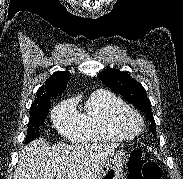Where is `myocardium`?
<instances>
[{
  "mask_svg": "<svg viewBox=\"0 0 183 179\" xmlns=\"http://www.w3.org/2000/svg\"><path fill=\"white\" fill-rule=\"evenodd\" d=\"M131 120L136 122L137 125L135 128L130 125ZM115 124L120 132L131 137L138 135L144 129V120L141 114L129 107L117 114Z\"/></svg>",
  "mask_w": 183,
  "mask_h": 179,
  "instance_id": "f54148a6",
  "label": "myocardium"
}]
</instances>
